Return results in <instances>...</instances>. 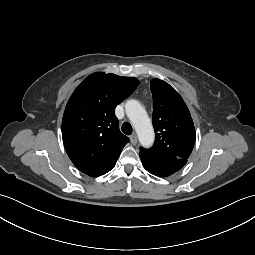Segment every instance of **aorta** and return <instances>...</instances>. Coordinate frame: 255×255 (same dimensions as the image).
<instances>
[{
	"mask_svg": "<svg viewBox=\"0 0 255 255\" xmlns=\"http://www.w3.org/2000/svg\"><path fill=\"white\" fill-rule=\"evenodd\" d=\"M125 111L135 127L141 145L150 147L154 142V130L146 110L138 101L129 100L125 105Z\"/></svg>",
	"mask_w": 255,
	"mask_h": 255,
	"instance_id": "1",
	"label": "aorta"
}]
</instances>
